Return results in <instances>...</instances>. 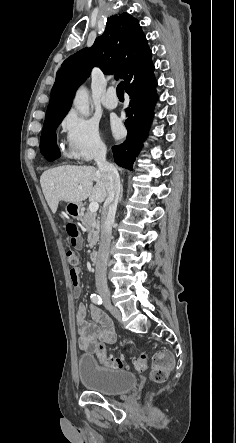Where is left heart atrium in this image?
Segmentation results:
<instances>
[{"mask_svg": "<svg viewBox=\"0 0 236 443\" xmlns=\"http://www.w3.org/2000/svg\"><path fill=\"white\" fill-rule=\"evenodd\" d=\"M110 124L113 134L116 136L120 135L122 131V125L120 121L118 119H112Z\"/></svg>", "mask_w": 236, "mask_h": 443, "instance_id": "left-heart-atrium-1", "label": "left heart atrium"}]
</instances>
